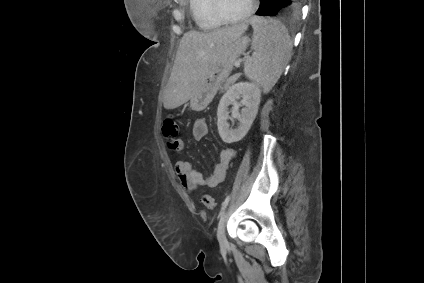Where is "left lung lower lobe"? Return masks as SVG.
<instances>
[{
  "mask_svg": "<svg viewBox=\"0 0 424 283\" xmlns=\"http://www.w3.org/2000/svg\"><path fill=\"white\" fill-rule=\"evenodd\" d=\"M256 15L275 16L277 14L297 13L302 0H260Z\"/></svg>",
  "mask_w": 424,
  "mask_h": 283,
  "instance_id": "obj_1",
  "label": "left lung lower lobe"
}]
</instances>
